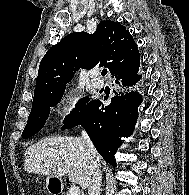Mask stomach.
Returning a JSON list of instances; mask_svg holds the SVG:
<instances>
[{
  "instance_id": "stomach-1",
  "label": "stomach",
  "mask_w": 189,
  "mask_h": 195,
  "mask_svg": "<svg viewBox=\"0 0 189 195\" xmlns=\"http://www.w3.org/2000/svg\"><path fill=\"white\" fill-rule=\"evenodd\" d=\"M46 187L48 190L52 189L54 185L57 186V180L54 177L47 176L45 179Z\"/></svg>"
}]
</instances>
